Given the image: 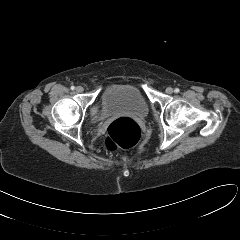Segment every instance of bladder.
Returning a JSON list of instances; mask_svg holds the SVG:
<instances>
[{"label":"bladder","instance_id":"bladder-1","mask_svg":"<svg viewBox=\"0 0 240 240\" xmlns=\"http://www.w3.org/2000/svg\"><path fill=\"white\" fill-rule=\"evenodd\" d=\"M149 114V106L141 91L133 85H115L103 91L100 97L101 119L129 115L143 119Z\"/></svg>","mask_w":240,"mask_h":240}]
</instances>
